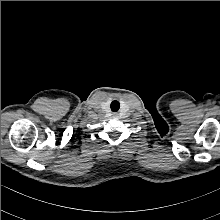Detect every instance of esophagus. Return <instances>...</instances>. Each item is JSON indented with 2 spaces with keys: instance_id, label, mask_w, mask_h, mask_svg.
<instances>
[{
  "instance_id": "1",
  "label": "esophagus",
  "mask_w": 220,
  "mask_h": 220,
  "mask_svg": "<svg viewBox=\"0 0 220 220\" xmlns=\"http://www.w3.org/2000/svg\"><path fill=\"white\" fill-rule=\"evenodd\" d=\"M113 116H114V117L118 116V113L114 112V113H113Z\"/></svg>"
}]
</instances>
